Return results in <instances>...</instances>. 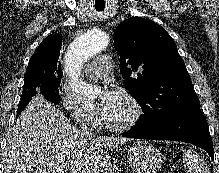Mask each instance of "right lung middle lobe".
Instances as JSON below:
<instances>
[{
  "mask_svg": "<svg viewBox=\"0 0 219 173\" xmlns=\"http://www.w3.org/2000/svg\"><path fill=\"white\" fill-rule=\"evenodd\" d=\"M63 75V74H62ZM61 73L55 67L29 65L24 75L22 95L41 93L45 99L59 104Z\"/></svg>",
  "mask_w": 219,
  "mask_h": 173,
  "instance_id": "right-lung-middle-lobe-1",
  "label": "right lung middle lobe"
}]
</instances>
